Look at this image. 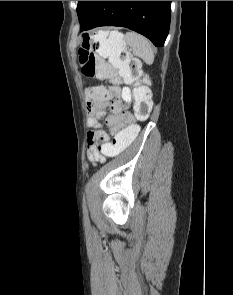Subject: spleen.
I'll return each mask as SVG.
<instances>
[{
	"mask_svg": "<svg viewBox=\"0 0 233 295\" xmlns=\"http://www.w3.org/2000/svg\"><path fill=\"white\" fill-rule=\"evenodd\" d=\"M99 53L103 57H107L109 62L117 68H122L124 62L120 60V55L125 51L126 46L132 48L133 54L142 58L147 64L154 61V51L151 43L147 38L136 32H127L125 35L113 30L107 38L106 33H100L99 37Z\"/></svg>",
	"mask_w": 233,
	"mask_h": 295,
	"instance_id": "1",
	"label": "spleen"
}]
</instances>
